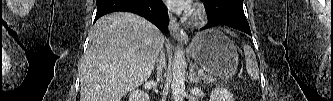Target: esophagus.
I'll use <instances>...</instances> for the list:
<instances>
[{
	"label": "esophagus",
	"instance_id": "obj_1",
	"mask_svg": "<svg viewBox=\"0 0 333 101\" xmlns=\"http://www.w3.org/2000/svg\"><path fill=\"white\" fill-rule=\"evenodd\" d=\"M169 31L170 34L178 41L187 43L188 41L187 34L182 29L179 28L177 19L172 15L170 16Z\"/></svg>",
	"mask_w": 333,
	"mask_h": 101
}]
</instances>
